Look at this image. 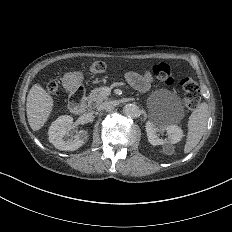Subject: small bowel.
I'll return each mask as SVG.
<instances>
[{
	"mask_svg": "<svg viewBox=\"0 0 232 232\" xmlns=\"http://www.w3.org/2000/svg\"><path fill=\"white\" fill-rule=\"evenodd\" d=\"M125 77L136 90L141 92L148 91L155 84L154 77L149 73L142 75L138 72L128 71L125 73Z\"/></svg>",
	"mask_w": 232,
	"mask_h": 232,
	"instance_id": "small-bowel-1",
	"label": "small bowel"
}]
</instances>
